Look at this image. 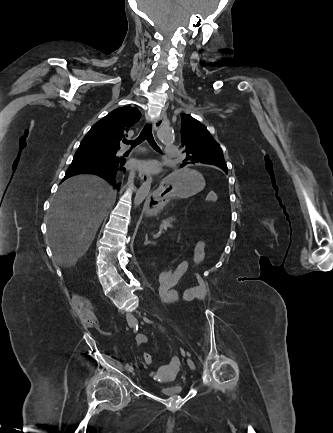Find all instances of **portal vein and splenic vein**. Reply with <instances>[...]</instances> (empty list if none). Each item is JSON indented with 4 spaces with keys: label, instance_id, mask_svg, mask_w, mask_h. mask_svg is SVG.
<instances>
[{
    "label": "portal vein and splenic vein",
    "instance_id": "18ae733b",
    "mask_svg": "<svg viewBox=\"0 0 333 433\" xmlns=\"http://www.w3.org/2000/svg\"><path fill=\"white\" fill-rule=\"evenodd\" d=\"M166 229H167L166 226H160L159 231H158V234H159V233H162L163 230H166ZM158 234H157V235H154L153 237H154V238H157V237H158Z\"/></svg>",
    "mask_w": 333,
    "mask_h": 433
}]
</instances>
